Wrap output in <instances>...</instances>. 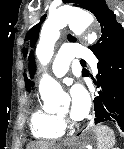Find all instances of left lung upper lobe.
<instances>
[{"label": "left lung upper lobe", "mask_w": 124, "mask_h": 149, "mask_svg": "<svg viewBox=\"0 0 124 149\" xmlns=\"http://www.w3.org/2000/svg\"><path fill=\"white\" fill-rule=\"evenodd\" d=\"M65 3H74L76 7H80L92 12L100 23L102 35L95 45L89 48L93 51L96 57L117 51L124 47V29L120 23L117 22L116 16L112 10L108 8L104 0H64ZM46 15L41 18V21L34 25L26 34V40H30L31 47L37 41L38 34L42 22L45 20ZM70 42H75V38L68 35ZM24 56L27 54V49L23 50ZM29 70L30 76L33 78L35 72V63L33 53L29 55ZM83 76H89L88 71L83 70ZM26 89L30 91L33 82L25 77Z\"/></svg>", "instance_id": "obj_1"}]
</instances>
